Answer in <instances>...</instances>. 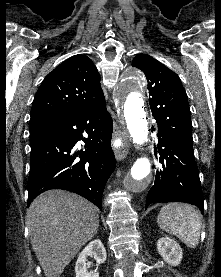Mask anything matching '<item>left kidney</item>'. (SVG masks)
Instances as JSON below:
<instances>
[{
	"mask_svg": "<svg viewBox=\"0 0 221 277\" xmlns=\"http://www.w3.org/2000/svg\"><path fill=\"white\" fill-rule=\"evenodd\" d=\"M157 251L165 262L177 266L182 260V249L179 244L167 236L161 237L157 242Z\"/></svg>",
	"mask_w": 221,
	"mask_h": 277,
	"instance_id": "obj_1",
	"label": "left kidney"
}]
</instances>
